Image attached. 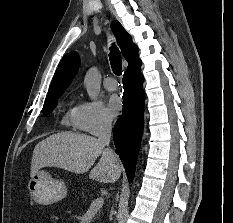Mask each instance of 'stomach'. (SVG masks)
Returning <instances> with one entry per match:
<instances>
[{"mask_svg":"<svg viewBox=\"0 0 233 223\" xmlns=\"http://www.w3.org/2000/svg\"><path fill=\"white\" fill-rule=\"evenodd\" d=\"M28 191L31 199L40 205H50L68 195L66 183L55 179L46 169H39L28 181Z\"/></svg>","mask_w":233,"mask_h":223,"instance_id":"1","label":"stomach"}]
</instances>
